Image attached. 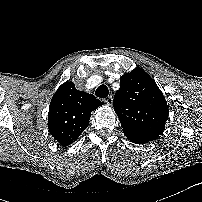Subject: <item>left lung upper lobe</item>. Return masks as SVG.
<instances>
[{
  "label": "left lung upper lobe",
  "instance_id": "1",
  "mask_svg": "<svg viewBox=\"0 0 202 202\" xmlns=\"http://www.w3.org/2000/svg\"><path fill=\"white\" fill-rule=\"evenodd\" d=\"M113 107L126 137L149 142L163 133L169 113L167 101L143 69L121 76Z\"/></svg>",
  "mask_w": 202,
  "mask_h": 202
}]
</instances>
